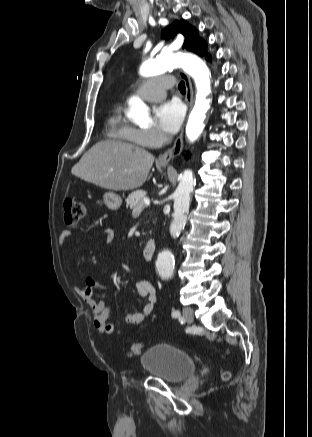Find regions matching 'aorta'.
Segmentation results:
<instances>
[{
    "instance_id": "1",
    "label": "aorta",
    "mask_w": 312,
    "mask_h": 437,
    "mask_svg": "<svg viewBox=\"0 0 312 437\" xmlns=\"http://www.w3.org/2000/svg\"><path fill=\"white\" fill-rule=\"evenodd\" d=\"M176 67H182L194 79L197 89L195 105L186 125V136L190 142H194L204 129L206 113L210 108V100L207 99V96L211 92V82L210 72L206 64L191 54L161 53L156 59L144 62L140 68V74L143 77H151ZM129 104L128 116L130 119L139 124L150 122L148 107L142 100L132 98ZM193 185L192 171L185 170L174 193V213L169 228L170 234L174 238L178 237L185 227ZM156 268L161 276L172 275L175 260L169 250L160 253Z\"/></svg>"
}]
</instances>
